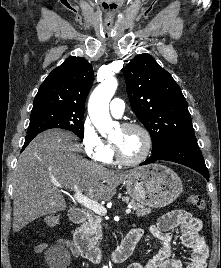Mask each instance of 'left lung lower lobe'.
<instances>
[{
    "label": "left lung lower lobe",
    "mask_w": 221,
    "mask_h": 268,
    "mask_svg": "<svg viewBox=\"0 0 221 268\" xmlns=\"http://www.w3.org/2000/svg\"><path fill=\"white\" fill-rule=\"evenodd\" d=\"M157 160L183 164L198 171L209 180L208 170L195 135L179 137L172 140L160 152L152 153V155L140 165L150 164Z\"/></svg>",
    "instance_id": "left-lung-lower-lobe-1"
}]
</instances>
